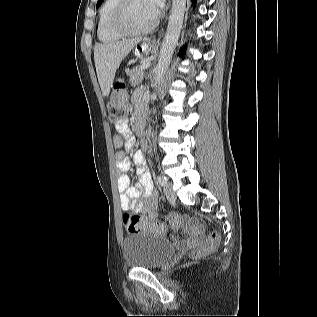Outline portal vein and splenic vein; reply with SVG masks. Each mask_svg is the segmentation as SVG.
Wrapping results in <instances>:
<instances>
[{
	"instance_id": "portal-vein-and-splenic-vein-1",
	"label": "portal vein and splenic vein",
	"mask_w": 317,
	"mask_h": 317,
	"mask_svg": "<svg viewBox=\"0 0 317 317\" xmlns=\"http://www.w3.org/2000/svg\"><path fill=\"white\" fill-rule=\"evenodd\" d=\"M149 65H150V63H143V64L140 66V68L143 70V69L148 68Z\"/></svg>"
}]
</instances>
